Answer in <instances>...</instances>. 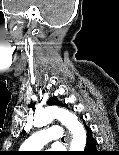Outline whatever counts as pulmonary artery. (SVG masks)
Instances as JSON below:
<instances>
[{
    "label": "pulmonary artery",
    "instance_id": "e3ab8cb5",
    "mask_svg": "<svg viewBox=\"0 0 119 155\" xmlns=\"http://www.w3.org/2000/svg\"><path fill=\"white\" fill-rule=\"evenodd\" d=\"M62 129L52 126L34 133L23 144L22 149L27 151H37L47 143L59 140L62 137Z\"/></svg>",
    "mask_w": 119,
    "mask_h": 155
}]
</instances>
